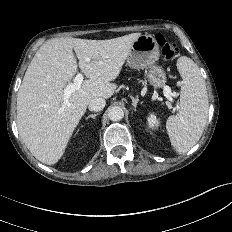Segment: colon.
Segmentation results:
<instances>
[{
  "label": "colon",
  "instance_id": "5ec220e1",
  "mask_svg": "<svg viewBox=\"0 0 232 232\" xmlns=\"http://www.w3.org/2000/svg\"><path fill=\"white\" fill-rule=\"evenodd\" d=\"M156 41L161 49V54L166 60H172L177 54L176 45L168 42L162 35L158 34L156 36Z\"/></svg>",
  "mask_w": 232,
  "mask_h": 232
}]
</instances>
